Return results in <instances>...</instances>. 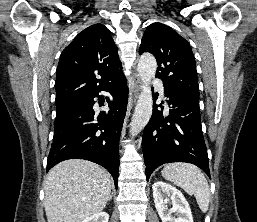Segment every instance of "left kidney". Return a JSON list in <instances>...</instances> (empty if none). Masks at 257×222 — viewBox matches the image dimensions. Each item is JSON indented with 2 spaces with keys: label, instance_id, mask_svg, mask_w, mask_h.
<instances>
[{
  "label": "left kidney",
  "instance_id": "left-kidney-1",
  "mask_svg": "<svg viewBox=\"0 0 257 222\" xmlns=\"http://www.w3.org/2000/svg\"><path fill=\"white\" fill-rule=\"evenodd\" d=\"M152 189L155 208L162 222H193L190 206L181 191L162 181L155 182ZM168 204H172V208L169 209Z\"/></svg>",
  "mask_w": 257,
  "mask_h": 222
}]
</instances>
